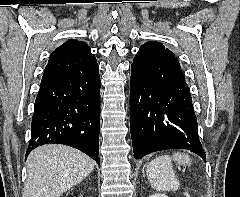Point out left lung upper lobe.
Returning <instances> with one entry per match:
<instances>
[{"mask_svg": "<svg viewBox=\"0 0 240 197\" xmlns=\"http://www.w3.org/2000/svg\"><path fill=\"white\" fill-rule=\"evenodd\" d=\"M132 66L143 71H168L183 76L175 55L158 42H147L142 45L134 58Z\"/></svg>", "mask_w": 240, "mask_h": 197, "instance_id": "left-lung-upper-lobe-1", "label": "left lung upper lobe"}]
</instances>
